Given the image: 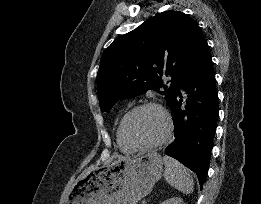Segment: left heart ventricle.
Masks as SVG:
<instances>
[{
    "label": "left heart ventricle",
    "mask_w": 261,
    "mask_h": 204,
    "mask_svg": "<svg viewBox=\"0 0 261 204\" xmlns=\"http://www.w3.org/2000/svg\"><path fill=\"white\" fill-rule=\"evenodd\" d=\"M163 131V119L154 109H143L134 113L125 126L127 138L137 145H145L156 141Z\"/></svg>",
    "instance_id": "left-heart-ventricle-1"
}]
</instances>
